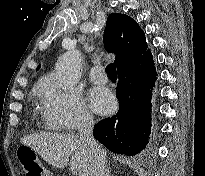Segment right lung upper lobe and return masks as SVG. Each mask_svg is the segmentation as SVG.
Instances as JSON below:
<instances>
[{
  "label": "right lung upper lobe",
  "instance_id": "right-lung-upper-lobe-1",
  "mask_svg": "<svg viewBox=\"0 0 205 176\" xmlns=\"http://www.w3.org/2000/svg\"><path fill=\"white\" fill-rule=\"evenodd\" d=\"M104 45L117 55L115 63L122 69L148 52L143 30L135 20L124 14L113 13L107 18ZM40 68L38 66L37 70Z\"/></svg>",
  "mask_w": 205,
  "mask_h": 176
}]
</instances>
